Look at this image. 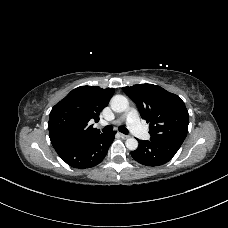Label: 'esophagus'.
Listing matches in <instances>:
<instances>
[{"label":"esophagus","mask_w":228,"mask_h":228,"mask_svg":"<svg viewBox=\"0 0 228 228\" xmlns=\"http://www.w3.org/2000/svg\"><path fill=\"white\" fill-rule=\"evenodd\" d=\"M120 137H121L122 139H128V138H129V136H128V135H125V134H120Z\"/></svg>","instance_id":"esophagus-1"}]
</instances>
